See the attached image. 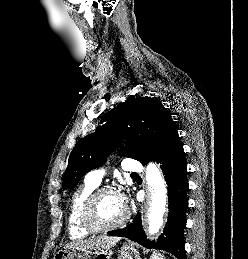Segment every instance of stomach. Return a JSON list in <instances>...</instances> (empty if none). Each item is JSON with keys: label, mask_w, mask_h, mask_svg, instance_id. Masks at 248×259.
<instances>
[{"label": "stomach", "mask_w": 248, "mask_h": 259, "mask_svg": "<svg viewBox=\"0 0 248 259\" xmlns=\"http://www.w3.org/2000/svg\"><path fill=\"white\" fill-rule=\"evenodd\" d=\"M111 255V250H86L72 246L56 252L53 259H111ZM118 259H141V257L133 245L124 244L119 249ZM150 259H153V256Z\"/></svg>", "instance_id": "stomach-1"}]
</instances>
